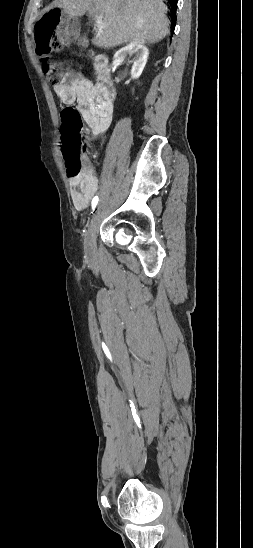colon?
<instances>
[{
	"label": "colon",
	"mask_w": 253,
	"mask_h": 548,
	"mask_svg": "<svg viewBox=\"0 0 253 548\" xmlns=\"http://www.w3.org/2000/svg\"><path fill=\"white\" fill-rule=\"evenodd\" d=\"M65 33L66 29L61 25L60 14L55 11L42 17L35 26L37 50L40 55L45 56L42 72L53 86L62 81L67 65L48 58V54L62 46ZM62 126V149L67 173L69 176H77L82 170V120L77 109L68 107L62 111Z\"/></svg>",
	"instance_id": "5ec220e1"
}]
</instances>
